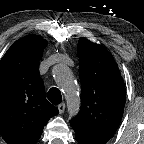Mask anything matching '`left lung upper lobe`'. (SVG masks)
<instances>
[{
  "instance_id": "5c2ea615",
  "label": "left lung upper lobe",
  "mask_w": 144,
  "mask_h": 144,
  "mask_svg": "<svg viewBox=\"0 0 144 144\" xmlns=\"http://www.w3.org/2000/svg\"><path fill=\"white\" fill-rule=\"evenodd\" d=\"M81 108L70 123L81 144H105L115 134L124 112L126 89L111 54L81 37L77 46Z\"/></svg>"
}]
</instances>
